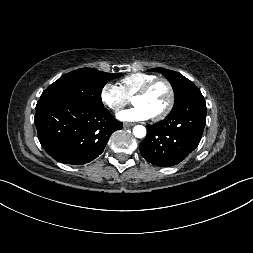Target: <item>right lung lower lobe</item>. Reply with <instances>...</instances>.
<instances>
[{"label": "right lung lower lobe", "mask_w": 253, "mask_h": 253, "mask_svg": "<svg viewBox=\"0 0 253 253\" xmlns=\"http://www.w3.org/2000/svg\"><path fill=\"white\" fill-rule=\"evenodd\" d=\"M35 125L44 150L56 161L82 165L97 158L111 134L122 128L104 107L40 99Z\"/></svg>", "instance_id": "1"}]
</instances>
